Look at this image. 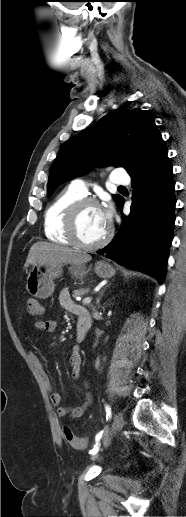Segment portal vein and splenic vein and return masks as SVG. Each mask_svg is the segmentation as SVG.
Segmentation results:
<instances>
[{"instance_id": "18ae733b", "label": "portal vein and splenic vein", "mask_w": 186, "mask_h": 517, "mask_svg": "<svg viewBox=\"0 0 186 517\" xmlns=\"http://www.w3.org/2000/svg\"><path fill=\"white\" fill-rule=\"evenodd\" d=\"M91 300H92V298H91V297H86V298H84V299H83L82 303H83L84 305H86V304H89V303L91 302Z\"/></svg>"}]
</instances>
